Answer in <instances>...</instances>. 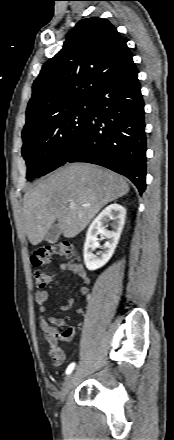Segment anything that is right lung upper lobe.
<instances>
[{
	"instance_id": "cb5924a9",
	"label": "right lung upper lobe",
	"mask_w": 174,
	"mask_h": 440,
	"mask_svg": "<svg viewBox=\"0 0 174 440\" xmlns=\"http://www.w3.org/2000/svg\"><path fill=\"white\" fill-rule=\"evenodd\" d=\"M132 53L116 28L98 17L79 21L63 48L42 67L27 107V130L91 98L100 84L130 62Z\"/></svg>"
}]
</instances>
